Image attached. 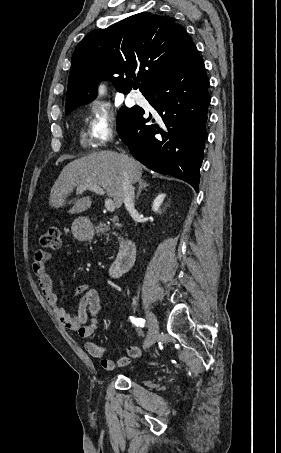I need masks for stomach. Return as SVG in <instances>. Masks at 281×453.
I'll return each mask as SVG.
<instances>
[{
	"label": "stomach",
	"mask_w": 281,
	"mask_h": 453,
	"mask_svg": "<svg viewBox=\"0 0 281 453\" xmlns=\"http://www.w3.org/2000/svg\"><path fill=\"white\" fill-rule=\"evenodd\" d=\"M72 235L79 241H89L93 237L92 222L86 216L75 218L72 224Z\"/></svg>",
	"instance_id": "stomach-1"
}]
</instances>
